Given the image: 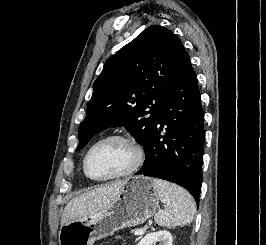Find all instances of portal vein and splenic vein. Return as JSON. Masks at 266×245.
I'll list each match as a JSON object with an SVG mask.
<instances>
[{
  "instance_id": "1",
  "label": "portal vein and splenic vein",
  "mask_w": 266,
  "mask_h": 245,
  "mask_svg": "<svg viewBox=\"0 0 266 245\" xmlns=\"http://www.w3.org/2000/svg\"><path fill=\"white\" fill-rule=\"evenodd\" d=\"M143 233H145L143 229H140V231H134V235H143Z\"/></svg>"
}]
</instances>
